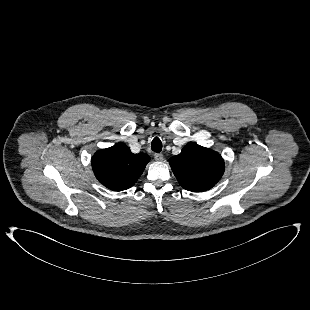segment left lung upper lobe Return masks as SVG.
Masks as SVG:
<instances>
[{
  "instance_id": "1",
  "label": "left lung upper lobe",
  "mask_w": 310,
  "mask_h": 310,
  "mask_svg": "<svg viewBox=\"0 0 310 310\" xmlns=\"http://www.w3.org/2000/svg\"><path fill=\"white\" fill-rule=\"evenodd\" d=\"M179 184L192 192L212 188L222 177L225 164L215 151L196 143H188L169 162Z\"/></svg>"
}]
</instances>
